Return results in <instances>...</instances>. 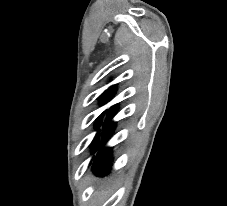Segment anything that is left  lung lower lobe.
<instances>
[{
  "label": "left lung lower lobe",
  "mask_w": 227,
  "mask_h": 206,
  "mask_svg": "<svg viewBox=\"0 0 227 206\" xmlns=\"http://www.w3.org/2000/svg\"><path fill=\"white\" fill-rule=\"evenodd\" d=\"M116 110H117V105H114V106L110 107L108 109V111H105V113L107 112V118H106V120L103 124V128H102V144H101V146L104 144L105 140L109 138L110 134L112 133V131L115 127V123L111 122V119L115 115ZM102 119H103V117H102ZM102 119L100 120V122L98 124V128L102 124ZM99 137H100V129L98 130V132L92 142L93 146H95V147L98 146ZM110 152H111V148H102L101 150H99V152L95 156L92 170L96 173V175L104 176L106 172H109L110 161H111Z\"/></svg>",
  "instance_id": "0a47b994"
}]
</instances>
